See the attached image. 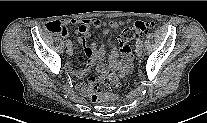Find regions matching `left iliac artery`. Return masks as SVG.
Returning a JSON list of instances; mask_svg holds the SVG:
<instances>
[{
    "label": "left iliac artery",
    "instance_id": "left-iliac-artery-1",
    "mask_svg": "<svg viewBox=\"0 0 207 123\" xmlns=\"http://www.w3.org/2000/svg\"><path fill=\"white\" fill-rule=\"evenodd\" d=\"M136 44H141V45H142V40H141L140 37L137 38V40H136Z\"/></svg>",
    "mask_w": 207,
    "mask_h": 123
}]
</instances>
